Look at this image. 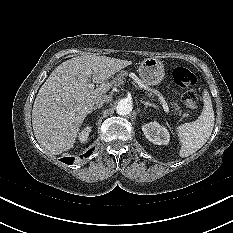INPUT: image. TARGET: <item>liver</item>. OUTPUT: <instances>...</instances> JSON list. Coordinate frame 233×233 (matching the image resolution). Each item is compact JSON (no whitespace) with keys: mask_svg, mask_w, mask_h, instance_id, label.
<instances>
[{"mask_svg":"<svg viewBox=\"0 0 233 233\" xmlns=\"http://www.w3.org/2000/svg\"><path fill=\"white\" fill-rule=\"evenodd\" d=\"M130 64L86 54L57 66L39 89L33 105L32 126L37 141L53 155L72 148L96 100L111 88L108 79ZM90 79L99 87L90 89Z\"/></svg>","mask_w":233,"mask_h":233,"instance_id":"liver-1","label":"liver"}]
</instances>
